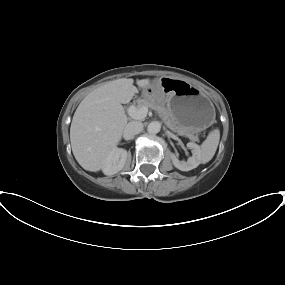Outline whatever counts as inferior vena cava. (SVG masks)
Listing matches in <instances>:
<instances>
[{"label":"inferior vena cava","instance_id":"602c4592","mask_svg":"<svg viewBox=\"0 0 285 285\" xmlns=\"http://www.w3.org/2000/svg\"><path fill=\"white\" fill-rule=\"evenodd\" d=\"M143 131V124L142 122L139 121H131L129 122L125 129H124V135L127 138H132L135 135L139 134L140 132Z\"/></svg>","mask_w":285,"mask_h":285}]
</instances>
